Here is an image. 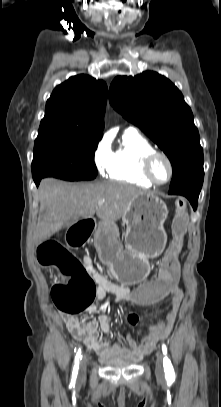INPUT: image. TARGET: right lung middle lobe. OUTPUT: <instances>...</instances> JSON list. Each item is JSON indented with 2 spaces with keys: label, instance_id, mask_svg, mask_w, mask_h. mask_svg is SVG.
I'll list each match as a JSON object with an SVG mask.
<instances>
[{
  "label": "right lung middle lobe",
  "instance_id": "obj_1",
  "mask_svg": "<svg viewBox=\"0 0 221 407\" xmlns=\"http://www.w3.org/2000/svg\"><path fill=\"white\" fill-rule=\"evenodd\" d=\"M99 140L63 132L38 133L32 162L33 178L94 179L97 175L94 153Z\"/></svg>",
  "mask_w": 221,
  "mask_h": 407
}]
</instances>
